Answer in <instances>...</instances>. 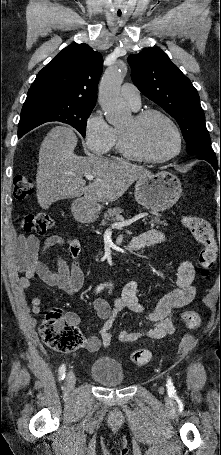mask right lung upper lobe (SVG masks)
I'll use <instances>...</instances> for the list:
<instances>
[{
    "label": "right lung upper lobe",
    "instance_id": "cb5924a9",
    "mask_svg": "<svg viewBox=\"0 0 221 455\" xmlns=\"http://www.w3.org/2000/svg\"><path fill=\"white\" fill-rule=\"evenodd\" d=\"M103 58L85 43L64 48L37 75L24 105L63 103L95 106Z\"/></svg>",
    "mask_w": 221,
    "mask_h": 455
}]
</instances>
